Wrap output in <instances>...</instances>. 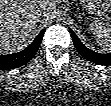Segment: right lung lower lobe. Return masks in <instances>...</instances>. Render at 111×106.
I'll return each instance as SVG.
<instances>
[{"instance_id":"right-lung-lower-lobe-1","label":"right lung lower lobe","mask_w":111,"mask_h":106,"mask_svg":"<svg viewBox=\"0 0 111 106\" xmlns=\"http://www.w3.org/2000/svg\"><path fill=\"white\" fill-rule=\"evenodd\" d=\"M44 31L45 30H42L40 34L34 39V41L24 50L13 54L1 55L0 69H14L29 62L33 58V56L35 55L40 46V43L44 35Z\"/></svg>"}]
</instances>
